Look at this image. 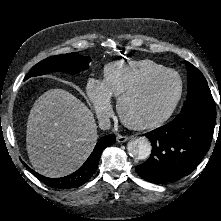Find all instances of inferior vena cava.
Segmentation results:
<instances>
[{
	"instance_id": "1",
	"label": "inferior vena cava",
	"mask_w": 221,
	"mask_h": 221,
	"mask_svg": "<svg viewBox=\"0 0 221 221\" xmlns=\"http://www.w3.org/2000/svg\"><path fill=\"white\" fill-rule=\"evenodd\" d=\"M99 127L103 130H108L111 127V122L110 119L108 117L102 118L99 121Z\"/></svg>"
}]
</instances>
